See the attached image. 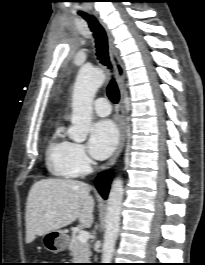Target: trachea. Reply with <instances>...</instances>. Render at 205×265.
<instances>
[{"mask_svg": "<svg viewBox=\"0 0 205 265\" xmlns=\"http://www.w3.org/2000/svg\"><path fill=\"white\" fill-rule=\"evenodd\" d=\"M82 17L88 21L89 28L93 32L96 42V55L100 62L111 69V64L108 55V40L104 28L98 23V21L87 14H82ZM107 95L113 103H118L120 95L117 84L112 78L107 86Z\"/></svg>", "mask_w": 205, "mask_h": 265, "instance_id": "3493384b", "label": "trachea"}]
</instances>
